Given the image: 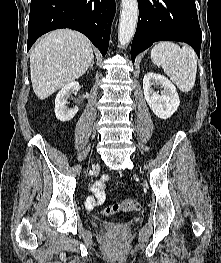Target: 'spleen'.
<instances>
[{
    "label": "spleen",
    "mask_w": 221,
    "mask_h": 263,
    "mask_svg": "<svg viewBox=\"0 0 221 263\" xmlns=\"http://www.w3.org/2000/svg\"><path fill=\"white\" fill-rule=\"evenodd\" d=\"M151 59L182 92L191 91L197 72V57L191 47L180 48L176 43L162 41L152 48Z\"/></svg>",
    "instance_id": "1"
}]
</instances>
